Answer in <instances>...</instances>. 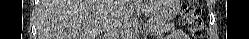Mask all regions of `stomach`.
Returning a JSON list of instances; mask_svg holds the SVG:
<instances>
[{
    "label": "stomach",
    "mask_w": 249,
    "mask_h": 39,
    "mask_svg": "<svg viewBox=\"0 0 249 39\" xmlns=\"http://www.w3.org/2000/svg\"><path fill=\"white\" fill-rule=\"evenodd\" d=\"M141 12L153 19L169 21L179 12L177 0H144Z\"/></svg>",
    "instance_id": "stomach-1"
}]
</instances>
